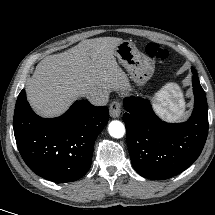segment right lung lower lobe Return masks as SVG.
<instances>
[{
  "mask_svg": "<svg viewBox=\"0 0 215 215\" xmlns=\"http://www.w3.org/2000/svg\"><path fill=\"white\" fill-rule=\"evenodd\" d=\"M23 107L14 115V135L19 152L37 175L57 183L84 176L91 166L94 142L109 120L107 107L76 101L57 118L36 115L22 90Z\"/></svg>",
  "mask_w": 215,
  "mask_h": 215,
  "instance_id": "98d812e1",
  "label": "right lung lower lobe"
}]
</instances>
